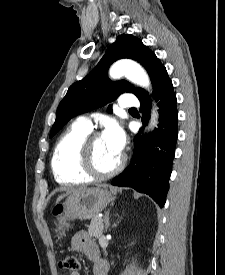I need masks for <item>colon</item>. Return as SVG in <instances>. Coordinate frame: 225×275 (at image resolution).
Returning <instances> with one entry per match:
<instances>
[{"mask_svg":"<svg viewBox=\"0 0 225 275\" xmlns=\"http://www.w3.org/2000/svg\"><path fill=\"white\" fill-rule=\"evenodd\" d=\"M62 211V208L60 206L56 207L55 210H54V214L56 216L60 215ZM62 268L67 270V271H70V272H77L80 268V264H79V261L76 257L74 256H68L66 257L63 261H62Z\"/></svg>","mask_w":225,"mask_h":275,"instance_id":"1","label":"colon"}]
</instances>
